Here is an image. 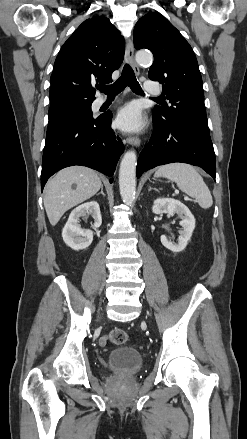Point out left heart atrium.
Here are the masks:
<instances>
[{
    "mask_svg": "<svg viewBox=\"0 0 247 439\" xmlns=\"http://www.w3.org/2000/svg\"><path fill=\"white\" fill-rule=\"evenodd\" d=\"M116 123L123 131L134 132L144 127L145 119L140 107L130 103L119 110Z\"/></svg>",
    "mask_w": 247,
    "mask_h": 439,
    "instance_id": "1",
    "label": "left heart atrium"
}]
</instances>
